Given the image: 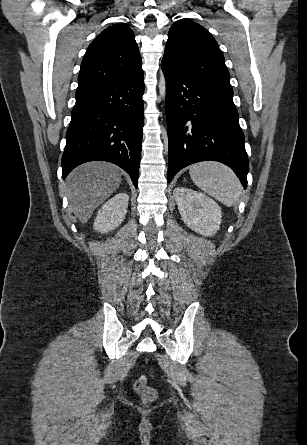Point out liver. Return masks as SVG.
I'll use <instances>...</instances> for the list:
<instances>
[{"label": "liver", "mask_w": 307, "mask_h": 445, "mask_svg": "<svg viewBox=\"0 0 307 445\" xmlns=\"http://www.w3.org/2000/svg\"><path fill=\"white\" fill-rule=\"evenodd\" d=\"M120 182L121 170L111 162H85L70 172L66 178V194L80 223H87L95 208L119 188Z\"/></svg>", "instance_id": "liver-1"}]
</instances>
